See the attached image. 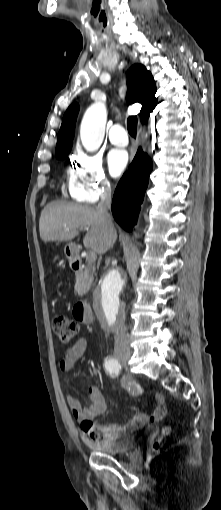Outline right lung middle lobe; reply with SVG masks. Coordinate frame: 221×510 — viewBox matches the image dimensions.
Instances as JSON below:
<instances>
[{
	"mask_svg": "<svg viewBox=\"0 0 221 510\" xmlns=\"http://www.w3.org/2000/svg\"><path fill=\"white\" fill-rule=\"evenodd\" d=\"M70 150H71V149L66 150V151H64V152H62V153H59V154H57V155H56V157H57L58 159H64V158H66V157H67V155L69 154Z\"/></svg>",
	"mask_w": 221,
	"mask_h": 510,
	"instance_id": "dd1d6c3e",
	"label": "right lung middle lobe"
}]
</instances>
